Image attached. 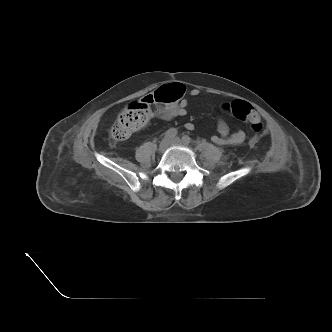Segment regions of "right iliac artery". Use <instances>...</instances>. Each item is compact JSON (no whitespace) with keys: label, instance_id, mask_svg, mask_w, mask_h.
<instances>
[{"label":"right iliac artery","instance_id":"82829eb1","mask_svg":"<svg viewBox=\"0 0 332 332\" xmlns=\"http://www.w3.org/2000/svg\"><path fill=\"white\" fill-rule=\"evenodd\" d=\"M177 135V130L175 128H170L169 130L166 131L164 138L165 139H172Z\"/></svg>","mask_w":332,"mask_h":332}]
</instances>
